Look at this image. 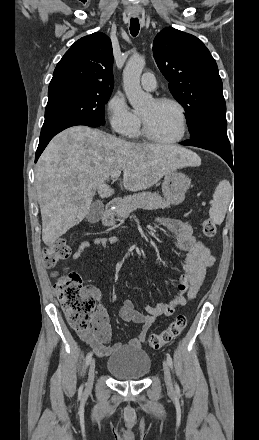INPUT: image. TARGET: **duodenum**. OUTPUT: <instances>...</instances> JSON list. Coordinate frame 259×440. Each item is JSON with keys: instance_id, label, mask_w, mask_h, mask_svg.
I'll return each instance as SVG.
<instances>
[{"instance_id": "1", "label": "duodenum", "mask_w": 259, "mask_h": 440, "mask_svg": "<svg viewBox=\"0 0 259 440\" xmlns=\"http://www.w3.org/2000/svg\"><path fill=\"white\" fill-rule=\"evenodd\" d=\"M116 204H117L116 199H112V200L108 201L105 205L104 215L108 216L111 213V211L113 210V208L116 206Z\"/></svg>"}]
</instances>
